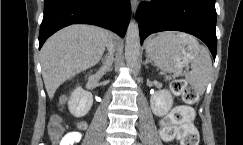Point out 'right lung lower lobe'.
<instances>
[{"instance_id": "obj_1", "label": "right lung lower lobe", "mask_w": 243, "mask_h": 145, "mask_svg": "<svg viewBox=\"0 0 243 145\" xmlns=\"http://www.w3.org/2000/svg\"><path fill=\"white\" fill-rule=\"evenodd\" d=\"M130 15V0H45L39 49L49 36L71 24H94L123 37Z\"/></svg>"}]
</instances>
